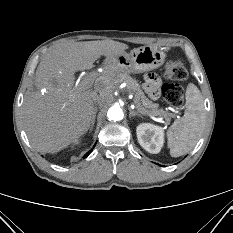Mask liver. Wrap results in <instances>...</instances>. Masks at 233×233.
<instances>
[{
    "label": "liver",
    "mask_w": 233,
    "mask_h": 233,
    "mask_svg": "<svg viewBox=\"0 0 233 233\" xmlns=\"http://www.w3.org/2000/svg\"><path fill=\"white\" fill-rule=\"evenodd\" d=\"M128 45L113 40L64 42L50 49L39 63L35 84L23 104L28 139L39 152L55 153L68 147L90 128L95 114L96 91H103L105 77L95 83L96 91L80 90L75 72L93 68L102 55L116 57ZM41 88H47L46 93Z\"/></svg>",
    "instance_id": "6515ba94"
}]
</instances>
